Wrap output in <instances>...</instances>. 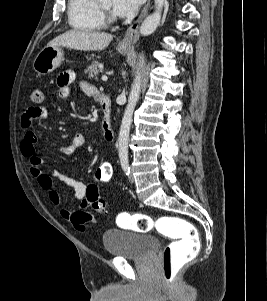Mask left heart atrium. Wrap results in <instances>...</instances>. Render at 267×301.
I'll use <instances>...</instances> for the list:
<instances>
[{
    "mask_svg": "<svg viewBox=\"0 0 267 301\" xmlns=\"http://www.w3.org/2000/svg\"><path fill=\"white\" fill-rule=\"evenodd\" d=\"M142 0H112L111 13L116 17H132L137 12Z\"/></svg>",
    "mask_w": 267,
    "mask_h": 301,
    "instance_id": "left-heart-atrium-1",
    "label": "left heart atrium"
}]
</instances>
